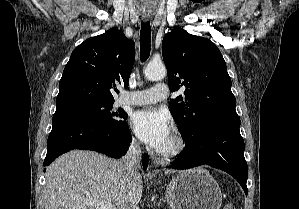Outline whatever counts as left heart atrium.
<instances>
[{"label":"left heart atrium","mask_w":299,"mask_h":209,"mask_svg":"<svg viewBox=\"0 0 299 209\" xmlns=\"http://www.w3.org/2000/svg\"><path fill=\"white\" fill-rule=\"evenodd\" d=\"M131 125L141 141L156 150L171 135L169 117L161 109L147 108L135 112L131 117Z\"/></svg>","instance_id":"1"}]
</instances>
